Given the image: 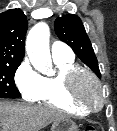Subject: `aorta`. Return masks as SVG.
<instances>
[{"mask_svg":"<svg viewBox=\"0 0 117 131\" xmlns=\"http://www.w3.org/2000/svg\"><path fill=\"white\" fill-rule=\"evenodd\" d=\"M49 37V26L45 22H39L32 27L26 39V51L31 64L45 75L52 73Z\"/></svg>","mask_w":117,"mask_h":131,"instance_id":"1","label":"aorta"}]
</instances>
